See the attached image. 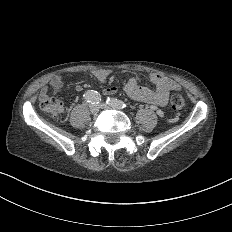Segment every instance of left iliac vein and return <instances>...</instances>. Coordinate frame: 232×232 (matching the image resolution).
Masks as SVG:
<instances>
[{"instance_id":"1","label":"left iliac vein","mask_w":232,"mask_h":232,"mask_svg":"<svg viewBox=\"0 0 232 232\" xmlns=\"http://www.w3.org/2000/svg\"><path fill=\"white\" fill-rule=\"evenodd\" d=\"M99 108H100V109H103V108H104V109H107V108H108V105H107V104H104V105H103V104H100V105H99Z\"/></svg>"}]
</instances>
